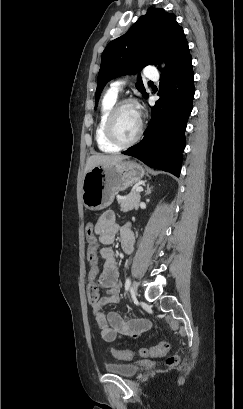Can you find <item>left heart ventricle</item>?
<instances>
[{
    "label": "left heart ventricle",
    "instance_id": "1",
    "mask_svg": "<svg viewBox=\"0 0 243 409\" xmlns=\"http://www.w3.org/2000/svg\"><path fill=\"white\" fill-rule=\"evenodd\" d=\"M115 127L118 135L123 140L133 138L140 127V113L133 106L124 107L117 115Z\"/></svg>",
    "mask_w": 243,
    "mask_h": 409
}]
</instances>
